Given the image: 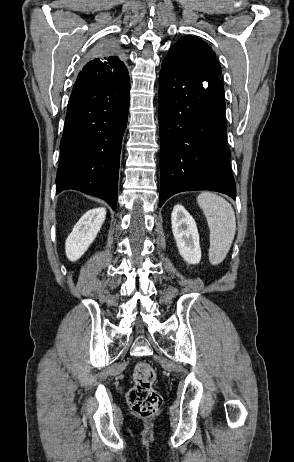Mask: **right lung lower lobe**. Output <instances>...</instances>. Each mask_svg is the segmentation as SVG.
Segmentation results:
<instances>
[{
    "instance_id": "1",
    "label": "right lung lower lobe",
    "mask_w": 294,
    "mask_h": 462,
    "mask_svg": "<svg viewBox=\"0 0 294 462\" xmlns=\"http://www.w3.org/2000/svg\"><path fill=\"white\" fill-rule=\"evenodd\" d=\"M129 91L128 74L108 84L72 90L60 142L56 194L75 189L116 209Z\"/></svg>"
}]
</instances>
